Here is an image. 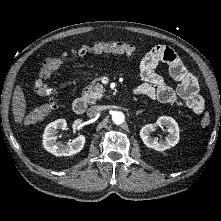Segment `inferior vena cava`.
<instances>
[{
	"mask_svg": "<svg viewBox=\"0 0 221 221\" xmlns=\"http://www.w3.org/2000/svg\"><path fill=\"white\" fill-rule=\"evenodd\" d=\"M100 111H101V107L100 106H98V105L91 106L87 110V116H89V117L96 116Z\"/></svg>",
	"mask_w": 221,
	"mask_h": 221,
	"instance_id": "602c4592",
	"label": "inferior vena cava"
}]
</instances>
